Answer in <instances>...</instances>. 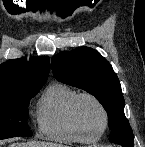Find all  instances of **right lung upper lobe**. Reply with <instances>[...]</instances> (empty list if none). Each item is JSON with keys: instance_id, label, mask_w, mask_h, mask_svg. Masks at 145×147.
Here are the masks:
<instances>
[{"instance_id": "1", "label": "right lung upper lobe", "mask_w": 145, "mask_h": 147, "mask_svg": "<svg viewBox=\"0 0 145 147\" xmlns=\"http://www.w3.org/2000/svg\"><path fill=\"white\" fill-rule=\"evenodd\" d=\"M50 72L47 56L11 59L0 65V93L23 87L42 86Z\"/></svg>"}]
</instances>
